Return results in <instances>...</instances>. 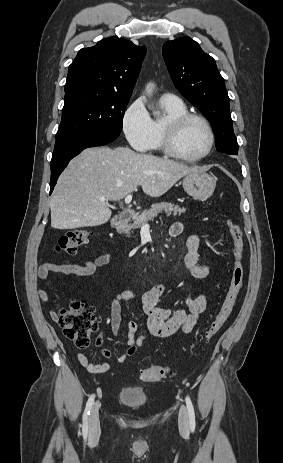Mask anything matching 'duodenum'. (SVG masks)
<instances>
[{"instance_id": "obj_1", "label": "duodenum", "mask_w": 283, "mask_h": 463, "mask_svg": "<svg viewBox=\"0 0 283 463\" xmlns=\"http://www.w3.org/2000/svg\"><path fill=\"white\" fill-rule=\"evenodd\" d=\"M133 216L134 210L132 208L124 209L113 218L110 226L112 229H118L124 223L129 221Z\"/></svg>"}]
</instances>
